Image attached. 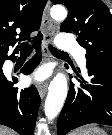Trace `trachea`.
<instances>
[{"label":"trachea","instance_id":"3493384b","mask_svg":"<svg viewBox=\"0 0 112 135\" xmlns=\"http://www.w3.org/2000/svg\"><path fill=\"white\" fill-rule=\"evenodd\" d=\"M49 49L53 54H60V55H66L65 52L60 51L56 48H54L53 46L49 45ZM32 47L29 44H22L20 46V55H28L32 53Z\"/></svg>","mask_w":112,"mask_h":135}]
</instances>
